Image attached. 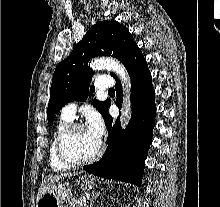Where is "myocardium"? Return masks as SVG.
Returning <instances> with one entry per match:
<instances>
[{
  "label": "myocardium",
  "mask_w": 220,
  "mask_h": 207,
  "mask_svg": "<svg viewBox=\"0 0 220 207\" xmlns=\"http://www.w3.org/2000/svg\"><path fill=\"white\" fill-rule=\"evenodd\" d=\"M83 128H85V126L81 123H78V122L69 123L62 129V131L59 133L56 139L55 150H56L57 158L59 159L61 163H63L64 165L68 167H82L85 165H89L95 162L96 160H98L104 152V144L101 141H99V146H98L97 151L88 159H85L82 161H74V160H71L66 155L65 150H64V143H65L66 138L74 130L83 129Z\"/></svg>",
  "instance_id": "f54148a6"
}]
</instances>
